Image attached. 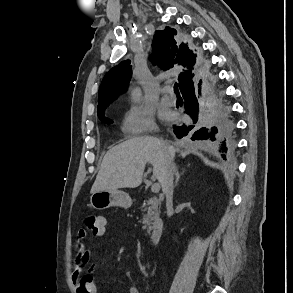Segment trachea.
Returning <instances> with one entry per match:
<instances>
[{
    "label": "trachea",
    "mask_w": 293,
    "mask_h": 293,
    "mask_svg": "<svg viewBox=\"0 0 293 293\" xmlns=\"http://www.w3.org/2000/svg\"><path fill=\"white\" fill-rule=\"evenodd\" d=\"M174 91L177 95H179L178 86L177 84L174 85Z\"/></svg>",
    "instance_id": "trachea-1"
}]
</instances>
